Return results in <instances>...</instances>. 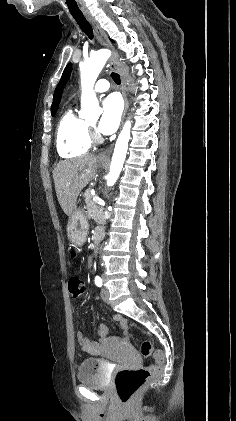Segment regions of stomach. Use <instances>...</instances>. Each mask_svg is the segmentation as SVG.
<instances>
[{
    "mask_svg": "<svg viewBox=\"0 0 236 421\" xmlns=\"http://www.w3.org/2000/svg\"><path fill=\"white\" fill-rule=\"evenodd\" d=\"M99 166H107L108 162L98 160ZM89 231L88 219L83 208H74L67 223V237L73 247L84 245Z\"/></svg>",
    "mask_w": 236,
    "mask_h": 421,
    "instance_id": "1",
    "label": "stomach"
}]
</instances>
